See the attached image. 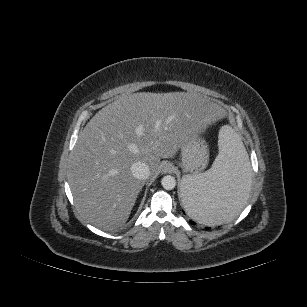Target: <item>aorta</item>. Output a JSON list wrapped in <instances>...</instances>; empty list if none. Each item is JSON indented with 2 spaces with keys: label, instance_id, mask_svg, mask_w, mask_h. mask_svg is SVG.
Listing matches in <instances>:
<instances>
[{
  "label": "aorta",
  "instance_id": "aorta-1",
  "mask_svg": "<svg viewBox=\"0 0 307 307\" xmlns=\"http://www.w3.org/2000/svg\"><path fill=\"white\" fill-rule=\"evenodd\" d=\"M162 187L166 190H172L176 186V179L171 175H166L161 180Z\"/></svg>",
  "mask_w": 307,
  "mask_h": 307
}]
</instances>
